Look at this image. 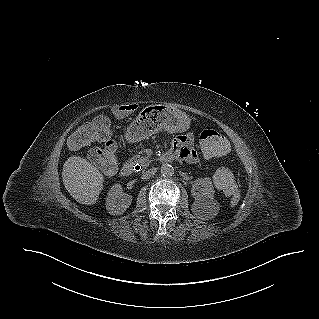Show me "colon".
Instances as JSON below:
<instances>
[{"instance_id":"1","label":"colon","mask_w":319,"mask_h":319,"mask_svg":"<svg viewBox=\"0 0 319 319\" xmlns=\"http://www.w3.org/2000/svg\"><path fill=\"white\" fill-rule=\"evenodd\" d=\"M106 116L101 114L93 122L81 126L69 139V146L72 149L84 147L90 141L98 140L103 142L102 147L94 148L90 152L92 162L99 165L106 173L114 171L117 165L115 145L110 139V131L107 125ZM200 143L206 155L217 159L227 157L233 148L231 138L222 132L208 129L200 135ZM216 180L221 189L227 194H234L237 190L233 174L226 168H219L216 172Z\"/></svg>"}]
</instances>
